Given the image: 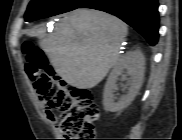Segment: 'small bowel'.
Here are the masks:
<instances>
[{"mask_svg":"<svg viewBox=\"0 0 182 140\" xmlns=\"http://www.w3.org/2000/svg\"><path fill=\"white\" fill-rule=\"evenodd\" d=\"M45 115H46L47 119H48L50 122L56 123V121H57L56 115L54 114V112H53L51 109L47 108V109L45 110Z\"/></svg>","mask_w":182,"mask_h":140,"instance_id":"small-bowel-1","label":"small bowel"}]
</instances>
